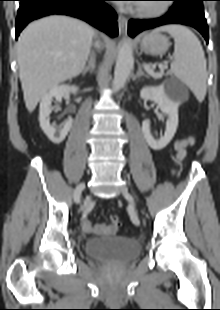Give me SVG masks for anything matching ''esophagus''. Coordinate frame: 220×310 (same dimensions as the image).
<instances>
[{"label":"esophagus","instance_id":"esophagus-1","mask_svg":"<svg viewBox=\"0 0 220 310\" xmlns=\"http://www.w3.org/2000/svg\"><path fill=\"white\" fill-rule=\"evenodd\" d=\"M128 20L125 16L118 15V29L120 35H126L127 33Z\"/></svg>","mask_w":220,"mask_h":310}]
</instances>
